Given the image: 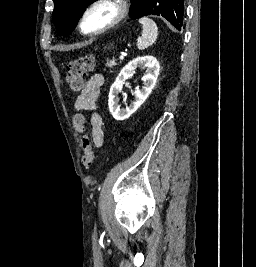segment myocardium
I'll list each match as a JSON object with an SVG mask.
<instances>
[{
  "label": "myocardium",
  "mask_w": 256,
  "mask_h": 267,
  "mask_svg": "<svg viewBox=\"0 0 256 267\" xmlns=\"http://www.w3.org/2000/svg\"><path fill=\"white\" fill-rule=\"evenodd\" d=\"M101 6H109L112 7L115 11V15L113 19L102 29L94 32H88L84 29V21L87 17V15L93 11L94 9L101 7ZM127 9L125 5H123L119 0H99L92 5H90L88 8H86L80 15L78 20V28L80 32L85 36H98L101 35L111 28H113L115 25H117L126 15Z\"/></svg>",
  "instance_id": "myocardium-1"
}]
</instances>
